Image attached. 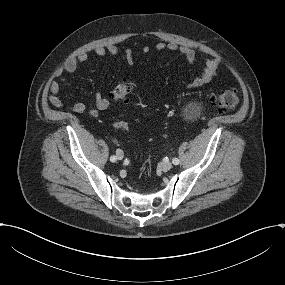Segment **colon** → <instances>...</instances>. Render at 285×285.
I'll use <instances>...</instances> for the list:
<instances>
[{"label": "colon", "instance_id": "5ec220e1", "mask_svg": "<svg viewBox=\"0 0 285 285\" xmlns=\"http://www.w3.org/2000/svg\"><path fill=\"white\" fill-rule=\"evenodd\" d=\"M132 84L129 81H122L111 92L110 100L113 102H125ZM239 102L238 94L235 90H224L211 99L212 106L220 113H226L236 108ZM114 127L120 131H127L128 125L123 120L114 122Z\"/></svg>", "mask_w": 285, "mask_h": 285}]
</instances>
